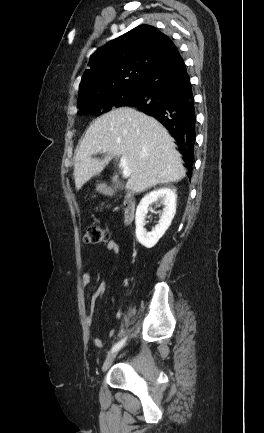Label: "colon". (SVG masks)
<instances>
[{"instance_id":"colon-1","label":"colon","mask_w":264,"mask_h":433,"mask_svg":"<svg viewBox=\"0 0 264 433\" xmlns=\"http://www.w3.org/2000/svg\"><path fill=\"white\" fill-rule=\"evenodd\" d=\"M84 241L87 244H103L109 241V233L101 226L91 225L85 231Z\"/></svg>"}]
</instances>
